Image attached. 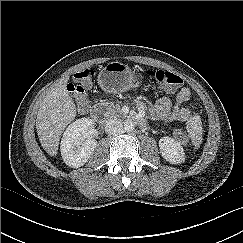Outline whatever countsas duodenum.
Returning <instances> with one entry per match:
<instances>
[{
    "label": "duodenum",
    "instance_id": "duodenum-1",
    "mask_svg": "<svg viewBox=\"0 0 243 243\" xmlns=\"http://www.w3.org/2000/svg\"><path fill=\"white\" fill-rule=\"evenodd\" d=\"M89 116L94 121H100L102 119L101 114L96 109H93L89 113ZM127 120L132 121V122H135V123L139 124L141 127H144L145 126V120H144V118L142 116L138 115V114H134V115L129 116L127 118Z\"/></svg>",
    "mask_w": 243,
    "mask_h": 243
}]
</instances>
